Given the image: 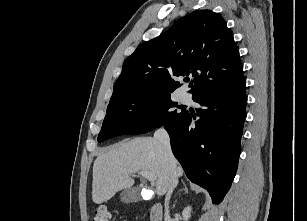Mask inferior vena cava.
<instances>
[{"label":"inferior vena cava","mask_w":307,"mask_h":221,"mask_svg":"<svg viewBox=\"0 0 307 221\" xmlns=\"http://www.w3.org/2000/svg\"><path fill=\"white\" fill-rule=\"evenodd\" d=\"M154 138L158 140L165 148L166 153L170 159V167H171V172H170V180H169V186L165 198V221H171L170 216H169V210H168V202L171 197V194L174 190V188L177 186L178 183V178L176 176L175 170H174V156L171 151V146H170V138L166 130L164 129H159L155 132Z\"/></svg>","instance_id":"inferior-vena-cava-1"}]
</instances>
